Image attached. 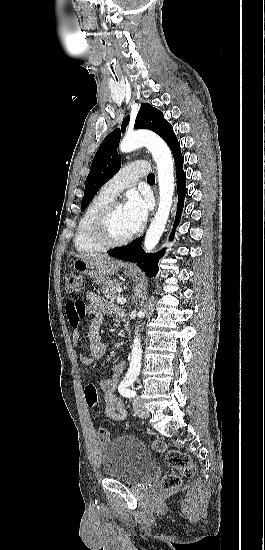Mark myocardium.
Masks as SVG:
<instances>
[{"label":"myocardium","mask_w":265,"mask_h":550,"mask_svg":"<svg viewBox=\"0 0 265 550\" xmlns=\"http://www.w3.org/2000/svg\"><path fill=\"white\" fill-rule=\"evenodd\" d=\"M120 206L112 201L105 205L91 222V234L105 248L118 247L127 244L134 236V232L120 239H115L110 234L109 223L114 210Z\"/></svg>","instance_id":"obj_1"}]
</instances>
